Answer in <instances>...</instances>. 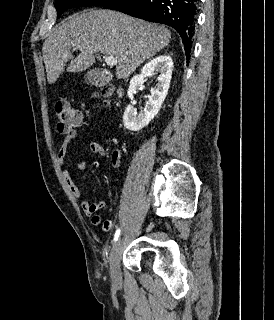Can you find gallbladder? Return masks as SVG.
I'll return each mask as SVG.
<instances>
[{
    "label": "gallbladder",
    "instance_id": "gallbladder-1",
    "mask_svg": "<svg viewBox=\"0 0 274 320\" xmlns=\"http://www.w3.org/2000/svg\"><path fill=\"white\" fill-rule=\"evenodd\" d=\"M111 79H116V72H105V68H88L85 74L87 84L107 85Z\"/></svg>",
    "mask_w": 274,
    "mask_h": 320
}]
</instances>
